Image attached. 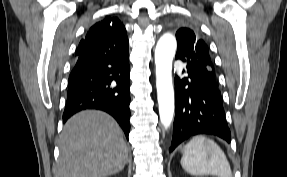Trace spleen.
Listing matches in <instances>:
<instances>
[{"label":"spleen","instance_id":"1","mask_svg":"<svg viewBox=\"0 0 287 177\" xmlns=\"http://www.w3.org/2000/svg\"><path fill=\"white\" fill-rule=\"evenodd\" d=\"M181 166L194 176L232 177L230 164L222 149L204 136H196L184 146Z\"/></svg>","mask_w":287,"mask_h":177}]
</instances>
